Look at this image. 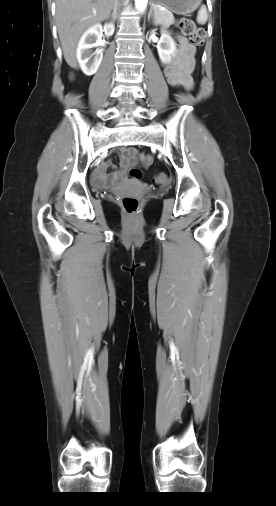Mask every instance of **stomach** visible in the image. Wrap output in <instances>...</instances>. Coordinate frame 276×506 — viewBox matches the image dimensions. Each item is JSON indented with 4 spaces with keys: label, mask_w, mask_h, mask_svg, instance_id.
<instances>
[{
    "label": "stomach",
    "mask_w": 276,
    "mask_h": 506,
    "mask_svg": "<svg viewBox=\"0 0 276 506\" xmlns=\"http://www.w3.org/2000/svg\"><path fill=\"white\" fill-rule=\"evenodd\" d=\"M202 0H152V3L165 7L173 13L186 15L195 11Z\"/></svg>",
    "instance_id": "stomach-1"
}]
</instances>
